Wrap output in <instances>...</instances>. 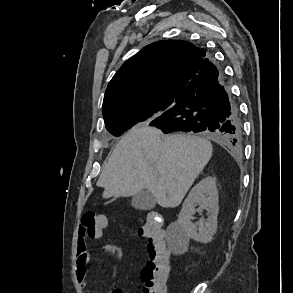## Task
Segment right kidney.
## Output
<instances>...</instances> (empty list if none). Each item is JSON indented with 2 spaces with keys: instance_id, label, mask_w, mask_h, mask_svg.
<instances>
[{
  "instance_id": "1",
  "label": "right kidney",
  "mask_w": 293,
  "mask_h": 293,
  "mask_svg": "<svg viewBox=\"0 0 293 293\" xmlns=\"http://www.w3.org/2000/svg\"><path fill=\"white\" fill-rule=\"evenodd\" d=\"M196 205H199L198 209H195ZM204 209L208 211V218L206 220L202 218L198 225L193 224V215L196 211L201 213ZM218 211L216 181L211 177H207L191 189L183 202L182 210L178 217L181 234L201 243L210 242L217 230Z\"/></svg>"
}]
</instances>
